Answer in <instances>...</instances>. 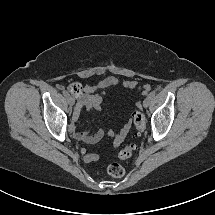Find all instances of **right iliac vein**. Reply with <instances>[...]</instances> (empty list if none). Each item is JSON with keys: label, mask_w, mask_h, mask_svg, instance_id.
<instances>
[{"label": "right iliac vein", "mask_w": 215, "mask_h": 215, "mask_svg": "<svg viewBox=\"0 0 215 215\" xmlns=\"http://www.w3.org/2000/svg\"><path fill=\"white\" fill-rule=\"evenodd\" d=\"M68 103L72 106V105H74V103H75V100H74V98L73 97H68Z\"/></svg>", "instance_id": "1"}]
</instances>
